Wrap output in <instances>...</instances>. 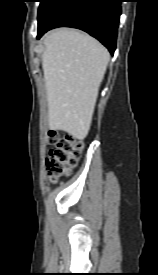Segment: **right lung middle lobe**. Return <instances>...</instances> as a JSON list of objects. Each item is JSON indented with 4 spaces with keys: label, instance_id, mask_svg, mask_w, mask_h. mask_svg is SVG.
<instances>
[{
    "label": "right lung middle lobe",
    "instance_id": "dd1d6c3e",
    "mask_svg": "<svg viewBox=\"0 0 158 275\" xmlns=\"http://www.w3.org/2000/svg\"><path fill=\"white\" fill-rule=\"evenodd\" d=\"M58 0H41L38 10V22L45 16V14L54 6Z\"/></svg>",
    "mask_w": 158,
    "mask_h": 275
}]
</instances>
